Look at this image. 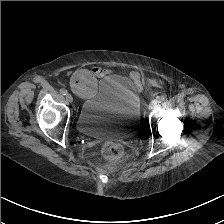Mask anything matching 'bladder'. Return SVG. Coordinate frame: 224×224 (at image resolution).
I'll use <instances>...</instances> for the list:
<instances>
[{"mask_svg": "<svg viewBox=\"0 0 224 224\" xmlns=\"http://www.w3.org/2000/svg\"><path fill=\"white\" fill-rule=\"evenodd\" d=\"M139 124V100L115 76L100 80L96 91L82 102L76 119L81 134L97 139H131Z\"/></svg>", "mask_w": 224, "mask_h": 224, "instance_id": "31cf9c89", "label": "bladder"}]
</instances>
